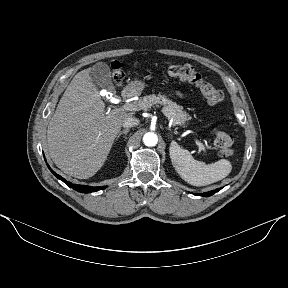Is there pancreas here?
I'll list each match as a JSON object with an SVG mask.
<instances>
[{
    "label": "pancreas",
    "instance_id": "cf45deb5",
    "mask_svg": "<svg viewBox=\"0 0 288 288\" xmlns=\"http://www.w3.org/2000/svg\"><path fill=\"white\" fill-rule=\"evenodd\" d=\"M136 105L142 110H148L151 107H159L164 105V110L167 112V117L172 119L174 124L185 125V122L190 119L188 114L182 110V107L175 102L169 100L166 95H146L136 102Z\"/></svg>",
    "mask_w": 288,
    "mask_h": 288
}]
</instances>
